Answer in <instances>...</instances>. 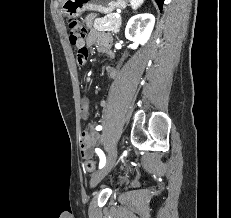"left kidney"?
<instances>
[{"label":"left kidney","mask_w":231,"mask_h":218,"mask_svg":"<svg viewBox=\"0 0 231 218\" xmlns=\"http://www.w3.org/2000/svg\"><path fill=\"white\" fill-rule=\"evenodd\" d=\"M155 24V17L150 13L131 17L125 29V37L137 45H144L149 40Z\"/></svg>","instance_id":"5707ae66"}]
</instances>
